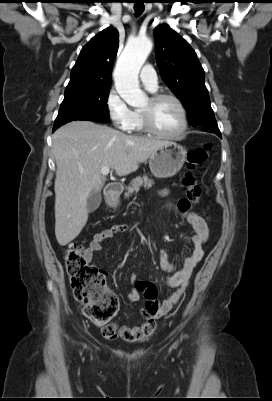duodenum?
<instances>
[{"mask_svg":"<svg viewBox=\"0 0 272 401\" xmlns=\"http://www.w3.org/2000/svg\"><path fill=\"white\" fill-rule=\"evenodd\" d=\"M122 192V185L110 184L106 188V199L110 205L115 203V200L120 196Z\"/></svg>","mask_w":272,"mask_h":401,"instance_id":"1","label":"duodenum"}]
</instances>
